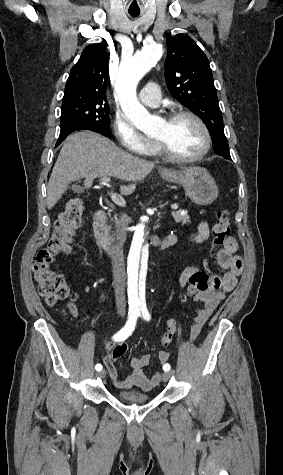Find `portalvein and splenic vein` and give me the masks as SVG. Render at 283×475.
<instances>
[{
    "instance_id": "portal-vein-and-splenic-vein-1",
    "label": "portal vein and splenic vein",
    "mask_w": 283,
    "mask_h": 475,
    "mask_svg": "<svg viewBox=\"0 0 283 475\" xmlns=\"http://www.w3.org/2000/svg\"><path fill=\"white\" fill-rule=\"evenodd\" d=\"M109 182H110V178H108V176H103V178H101L100 180V184H102V186H107ZM111 200H113L115 204H120V202H123L122 196H120V194H111ZM171 208L172 210H177L179 206L178 204H172Z\"/></svg>"
}]
</instances>
